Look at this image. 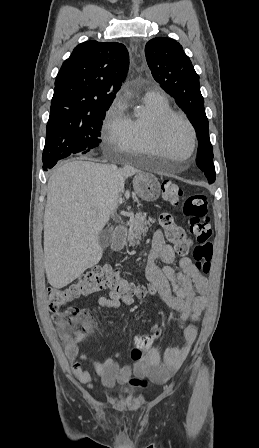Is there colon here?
I'll use <instances>...</instances> for the list:
<instances>
[{
    "instance_id": "1",
    "label": "colon",
    "mask_w": 259,
    "mask_h": 448,
    "mask_svg": "<svg viewBox=\"0 0 259 448\" xmlns=\"http://www.w3.org/2000/svg\"><path fill=\"white\" fill-rule=\"evenodd\" d=\"M161 189L164 200L175 206L180 204L183 190L179 184L171 179H165L161 184ZM181 207L188 219L189 231L196 241L195 266L200 272L208 273L213 256V246L207 196L203 193L189 195L182 201ZM159 222L166 230L167 238L175 245L177 252L187 253L190 248V239L185 230L174 222L172 215L162 214L159 217ZM101 291H109L110 294L118 296L144 297L149 289L122 277L117 271L107 267H97L86 272L69 287L49 288V308L67 346H75L81 342L94 327V321L87 310L69 305V303ZM159 337L160 335L156 332L136 337L135 347L131 354L133 360H143L146 352Z\"/></svg>"
}]
</instances>
